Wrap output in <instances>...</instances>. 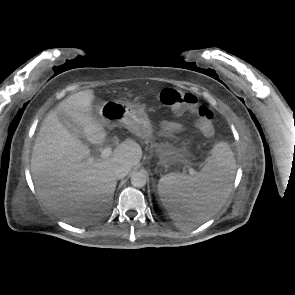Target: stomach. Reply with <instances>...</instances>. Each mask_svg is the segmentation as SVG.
<instances>
[{
    "mask_svg": "<svg viewBox=\"0 0 295 295\" xmlns=\"http://www.w3.org/2000/svg\"><path fill=\"white\" fill-rule=\"evenodd\" d=\"M97 120L109 127L122 125L146 142L152 141L151 121L143 106L126 101H106L99 109ZM156 147L159 159L164 164L181 159L180 149L169 144H159Z\"/></svg>",
    "mask_w": 295,
    "mask_h": 295,
    "instance_id": "obj_1",
    "label": "stomach"
}]
</instances>
